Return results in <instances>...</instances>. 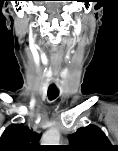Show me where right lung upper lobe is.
<instances>
[{
    "label": "right lung upper lobe",
    "mask_w": 118,
    "mask_h": 151,
    "mask_svg": "<svg viewBox=\"0 0 118 151\" xmlns=\"http://www.w3.org/2000/svg\"><path fill=\"white\" fill-rule=\"evenodd\" d=\"M40 136L23 124H12L0 138V151H35L39 148Z\"/></svg>",
    "instance_id": "right-lung-upper-lobe-1"
}]
</instances>
